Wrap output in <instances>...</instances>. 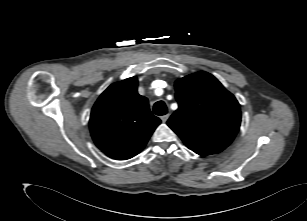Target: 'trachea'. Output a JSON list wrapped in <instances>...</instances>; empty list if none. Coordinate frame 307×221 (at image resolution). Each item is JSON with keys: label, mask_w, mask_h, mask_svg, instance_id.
Wrapping results in <instances>:
<instances>
[{"label": "trachea", "mask_w": 307, "mask_h": 221, "mask_svg": "<svg viewBox=\"0 0 307 221\" xmlns=\"http://www.w3.org/2000/svg\"><path fill=\"white\" fill-rule=\"evenodd\" d=\"M153 112L158 115L162 116L167 113V107L164 101H157L153 106Z\"/></svg>", "instance_id": "obj_1"}]
</instances>
